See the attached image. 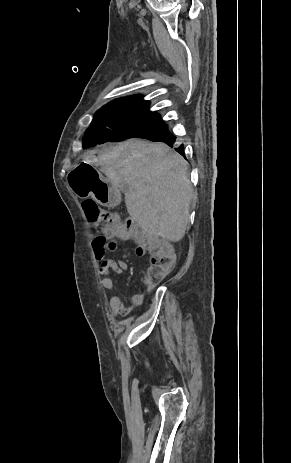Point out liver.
Instances as JSON below:
<instances>
[{"label":"liver","mask_w":291,"mask_h":463,"mask_svg":"<svg viewBox=\"0 0 291 463\" xmlns=\"http://www.w3.org/2000/svg\"><path fill=\"white\" fill-rule=\"evenodd\" d=\"M87 162L100 166L116 188L127 186V211L144 232L170 242L183 238L193 188L180 154L163 143L130 139Z\"/></svg>","instance_id":"liver-1"}]
</instances>
